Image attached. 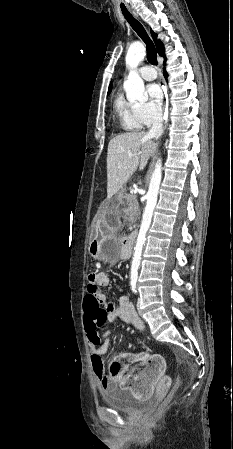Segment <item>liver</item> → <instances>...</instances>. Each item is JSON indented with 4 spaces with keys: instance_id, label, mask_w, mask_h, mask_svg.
<instances>
[{
    "instance_id": "liver-1",
    "label": "liver",
    "mask_w": 233,
    "mask_h": 449,
    "mask_svg": "<svg viewBox=\"0 0 233 449\" xmlns=\"http://www.w3.org/2000/svg\"><path fill=\"white\" fill-rule=\"evenodd\" d=\"M156 149L148 133L129 132L110 140L107 151V199L115 195L136 169L143 170Z\"/></svg>"
}]
</instances>
